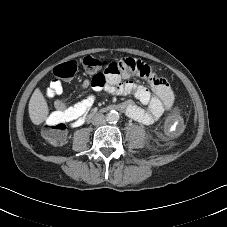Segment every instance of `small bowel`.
Here are the masks:
<instances>
[{
  "label": "small bowel",
  "mask_w": 227,
  "mask_h": 227,
  "mask_svg": "<svg viewBox=\"0 0 227 227\" xmlns=\"http://www.w3.org/2000/svg\"><path fill=\"white\" fill-rule=\"evenodd\" d=\"M135 74L141 75L146 79L152 91L129 79ZM121 78L124 81H121ZM81 87L83 89L92 87L95 92H100L104 89L112 95L134 96L144 107L139 106L132 100H126L119 108L127 116L143 124L155 122L174 105V93L169 82L156 76L151 70L146 73H141L139 70L124 72L119 76L105 73V82L103 84L95 85L93 80L85 79L82 81ZM46 98L53 103L55 108L49 115L47 123L56 122L61 119V114H67L66 122L70 127H75L81 123L83 115L93 106L96 97L91 94L75 105L68 106L64 100L62 88H55L52 84L46 92Z\"/></svg>",
  "instance_id": "obj_1"
}]
</instances>
